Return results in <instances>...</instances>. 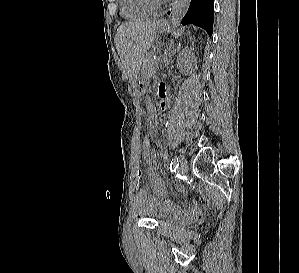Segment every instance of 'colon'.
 I'll return each mask as SVG.
<instances>
[{"label":"colon","instance_id":"obj_1","mask_svg":"<svg viewBox=\"0 0 299 273\" xmlns=\"http://www.w3.org/2000/svg\"><path fill=\"white\" fill-rule=\"evenodd\" d=\"M150 143H151L150 136L149 135H144L143 140H142V146H143V148L149 147ZM164 202L167 205H171L172 204L171 200H165ZM193 215L198 220H201L203 218V215H202L200 209L197 207V205L195 203H194V207H193Z\"/></svg>","mask_w":299,"mask_h":273}]
</instances>
